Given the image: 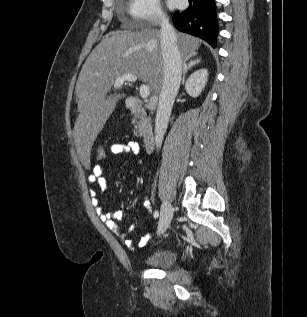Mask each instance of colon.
<instances>
[{"mask_svg": "<svg viewBox=\"0 0 307 317\" xmlns=\"http://www.w3.org/2000/svg\"><path fill=\"white\" fill-rule=\"evenodd\" d=\"M108 149L104 146L97 147L95 151V158L98 162H102L107 158Z\"/></svg>", "mask_w": 307, "mask_h": 317, "instance_id": "5ec220e1", "label": "colon"}]
</instances>
